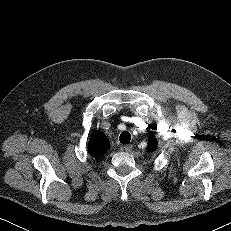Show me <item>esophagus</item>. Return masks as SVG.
Listing matches in <instances>:
<instances>
[{"label":"esophagus","instance_id":"obj_1","mask_svg":"<svg viewBox=\"0 0 231 231\" xmlns=\"http://www.w3.org/2000/svg\"><path fill=\"white\" fill-rule=\"evenodd\" d=\"M123 149H124L126 152H131V150H132V145H125V146L123 147Z\"/></svg>","mask_w":231,"mask_h":231}]
</instances>
